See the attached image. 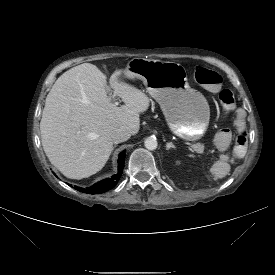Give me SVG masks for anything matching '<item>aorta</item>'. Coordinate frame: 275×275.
I'll return each instance as SVG.
<instances>
[{"label":"aorta","mask_w":275,"mask_h":275,"mask_svg":"<svg viewBox=\"0 0 275 275\" xmlns=\"http://www.w3.org/2000/svg\"><path fill=\"white\" fill-rule=\"evenodd\" d=\"M144 145L148 150H155L158 146L156 139L152 137L146 138Z\"/></svg>","instance_id":"aorta-1"}]
</instances>
